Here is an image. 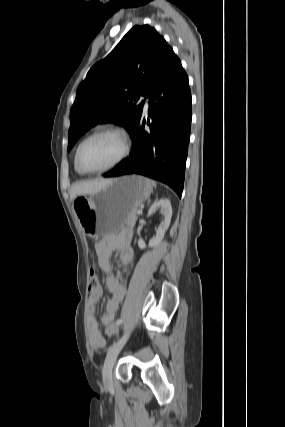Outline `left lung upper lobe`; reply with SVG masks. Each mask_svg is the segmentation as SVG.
Listing matches in <instances>:
<instances>
[{
    "instance_id": "obj_1",
    "label": "left lung upper lobe",
    "mask_w": 285,
    "mask_h": 427,
    "mask_svg": "<svg viewBox=\"0 0 285 427\" xmlns=\"http://www.w3.org/2000/svg\"><path fill=\"white\" fill-rule=\"evenodd\" d=\"M172 48L149 25L134 26L79 85L70 110L68 151L91 127L113 122L132 135L142 116L143 102Z\"/></svg>"
}]
</instances>
